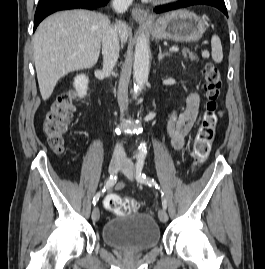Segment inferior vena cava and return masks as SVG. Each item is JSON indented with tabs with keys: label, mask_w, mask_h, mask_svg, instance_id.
<instances>
[{
	"label": "inferior vena cava",
	"mask_w": 265,
	"mask_h": 269,
	"mask_svg": "<svg viewBox=\"0 0 265 269\" xmlns=\"http://www.w3.org/2000/svg\"><path fill=\"white\" fill-rule=\"evenodd\" d=\"M133 0H113L112 6L118 13H124L132 4ZM119 38L116 25H108L104 31L102 38V54H103V72L109 76L119 57ZM126 159L123 146L117 143L113 153V160L120 161Z\"/></svg>",
	"instance_id": "inferior-vena-cava-1"
}]
</instances>
